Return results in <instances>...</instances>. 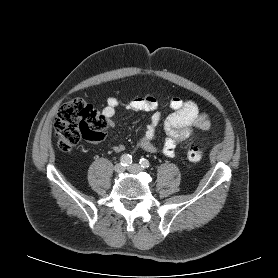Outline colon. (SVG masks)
Segmentation results:
<instances>
[{"label":"colon","mask_w":278,"mask_h":278,"mask_svg":"<svg viewBox=\"0 0 278 278\" xmlns=\"http://www.w3.org/2000/svg\"><path fill=\"white\" fill-rule=\"evenodd\" d=\"M106 126V118L96 107L82 99H74L60 108L55 118L54 131L59 148L68 152L83 139L101 140ZM186 155L189 161L199 162L204 152L200 147L191 145Z\"/></svg>","instance_id":"colon-1"}]
</instances>
